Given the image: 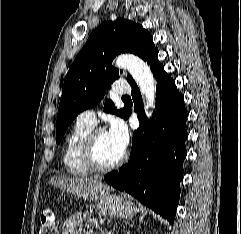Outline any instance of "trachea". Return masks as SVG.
I'll return each instance as SVG.
<instances>
[{
    "label": "trachea",
    "instance_id": "3493384b",
    "mask_svg": "<svg viewBox=\"0 0 241 234\" xmlns=\"http://www.w3.org/2000/svg\"><path fill=\"white\" fill-rule=\"evenodd\" d=\"M122 99L127 100V99H130V97L129 96H123Z\"/></svg>",
    "mask_w": 241,
    "mask_h": 234
}]
</instances>
